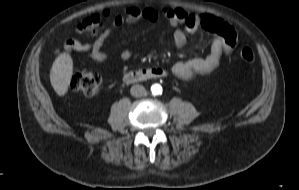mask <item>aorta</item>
<instances>
[{
  "label": "aorta",
  "instance_id": "1",
  "mask_svg": "<svg viewBox=\"0 0 299 190\" xmlns=\"http://www.w3.org/2000/svg\"><path fill=\"white\" fill-rule=\"evenodd\" d=\"M151 91L154 95H159L162 93V87L159 84H154L151 86Z\"/></svg>",
  "mask_w": 299,
  "mask_h": 190
}]
</instances>
